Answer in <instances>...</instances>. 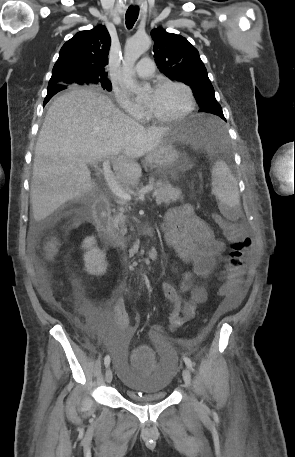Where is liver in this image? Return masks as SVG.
I'll return each mask as SVG.
<instances>
[{
	"label": "liver",
	"mask_w": 295,
	"mask_h": 457,
	"mask_svg": "<svg viewBox=\"0 0 295 457\" xmlns=\"http://www.w3.org/2000/svg\"><path fill=\"white\" fill-rule=\"evenodd\" d=\"M171 128L144 127L104 94L76 89L49 107L35 147L30 201L41 221L69 200L95 189L88 164L111 160L119 179L136 184V159L153 151Z\"/></svg>",
	"instance_id": "obj_1"
}]
</instances>
